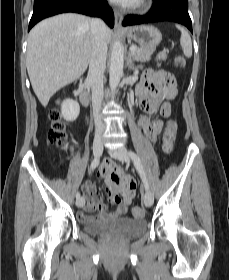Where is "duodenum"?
Wrapping results in <instances>:
<instances>
[{
    "mask_svg": "<svg viewBox=\"0 0 229 280\" xmlns=\"http://www.w3.org/2000/svg\"><path fill=\"white\" fill-rule=\"evenodd\" d=\"M78 95L83 105H88L90 101L89 87L85 84L81 85L78 89Z\"/></svg>",
    "mask_w": 229,
    "mask_h": 280,
    "instance_id": "obj_1",
    "label": "duodenum"
}]
</instances>
